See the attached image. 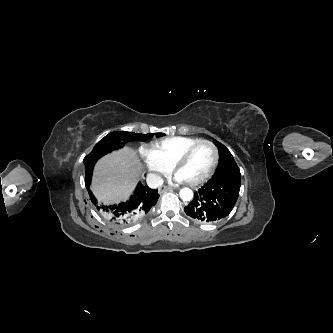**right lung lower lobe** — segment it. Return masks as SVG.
Here are the masks:
<instances>
[{
	"instance_id": "98d812e1",
	"label": "right lung lower lobe",
	"mask_w": 333,
	"mask_h": 333,
	"mask_svg": "<svg viewBox=\"0 0 333 333\" xmlns=\"http://www.w3.org/2000/svg\"><path fill=\"white\" fill-rule=\"evenodd\" d=\"M103 155L86 156L85 164V185L89 191L92 203L96 206L98 212L106 219H110L119 226H128L137 219L145 216L149 210L157 203L159 198L158 190L150 189L147 185L139 183L134 194L124 203L107 206L99 205L89 189L91 183L93 167L96 161Z\"/></svg>"
}]
</instances>
